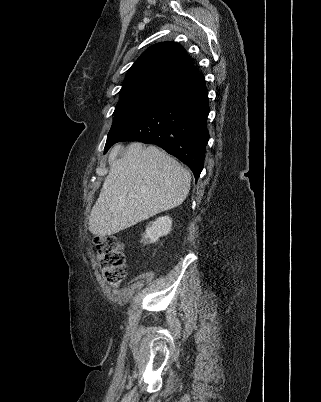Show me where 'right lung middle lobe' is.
Masks as SVG:
<instances>
[{
    "mask_svg": "<svg viewBox=\"0 0 321 402\" xmlns=\"http://www.w3.org/2000/svg\"><path fill=\"white\" fill-rule=\"evenodd\" d=\"M171 89L172 86L169 85L150 83L120 91V99L113 113L114 119L107 142L160 103Z\"/></svg>",
    "mask_w": 321,
    "mask_h": 402,
    "instance_id": "obj_1",
    "label": "right lung middle lobe"
}]
</instances>
